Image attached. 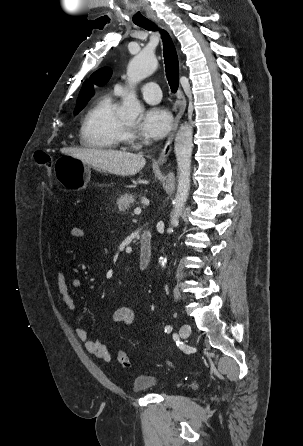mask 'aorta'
<instances>
[{
    "label": "aorta",
    "instance_id": "aorta-1",
    "mask_svg": "<svg viewBox=\"0 0 303 446\" xmlns=\"http://www.w3.org/2000/svg\"><path fill=\"white\" fill-rule=\"evenodd\" d=\"M157 65L154 54L148 51L140 52L130 61L127 67V81L132 90L124 98L123 104L119 109L121 118L135 120L142 112V106L133 91V87L151 75L157 69ZM192 148L193 128L190 124H182L176 133L174 144L178 168V185L173 201L174 208L171 214L170 231H173V226L178 224V219L189 196ZM159 263L162 267H165L167 259L160 257Z\"/></svg>",
    "mask_w": 303,
    "mask_h": 446
}]
</instances>
